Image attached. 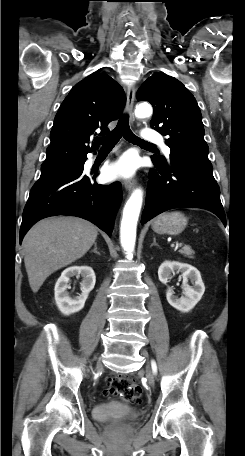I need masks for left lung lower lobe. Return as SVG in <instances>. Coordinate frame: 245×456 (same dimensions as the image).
I'll return each mask as SVG.
<instances>
[{
	"mask_svg": "<svg viewBox=\"0 0 245 456\" xmlns=\"http://www.w3.org/2000/svg\"><path fill=\"white\" fill-rule=\"evenodd\" d=\"M152 158L142 222L173 208H202L216 214L226 224L220 189L212 166L172 158L162 163Z\"/></svg>",
	"mask_w": 245,
	"mask_h": 456,
	"instance_id": "obj_1",
	"label": "left lung lower lobe"
}]
</instances>
